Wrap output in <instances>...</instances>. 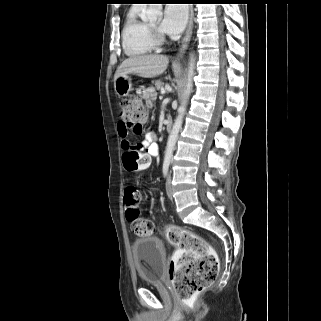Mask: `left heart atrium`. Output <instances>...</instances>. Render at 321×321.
<instances>
[{
  "instance_id": "1",
  "label": "left heart atrium",
  "mask_w": 321,
  "mask_h": 321,
  "mask_svg": "<svg viewBox=\"0 0 321 321\" xmlns=\"http://www.w3.org/2000/svg\"><path fill=\"white\" fill-rule=\"evenodd\" d=\"M188 11L183 4H168L165 7L163 19L160 24V31L174 35L180 33L187 22Z\"/></svg>"
}]
</instances>
